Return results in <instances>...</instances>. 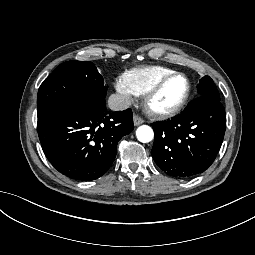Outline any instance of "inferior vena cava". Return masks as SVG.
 Here are the masks:
<instances>
[{
  "label": "inferior vena cava",
  "mask_w": 255,
  "mask_h": 255,
  "mask_svg": "<svg viewBox=\"0 0 255 255\" xmlns=\"http://www.w3.org/2000/svg\"><path fill=\"white\" fill-rule=\"evenodd\" d=\"M108 104L110 109L114 111H122L131 106L129 98L121 94L111 95Z\"/></svg>",
  "instance_id": "1"
}]
</instances>
